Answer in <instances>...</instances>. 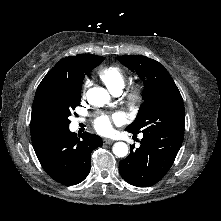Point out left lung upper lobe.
Listing matches in <instances>:
<instances>
[{
  "mask_svg": "<svg viewBox=\"0 0 221 221\" xmlns=\"http://www.w3.org/2000/svg\"><path fill=\"white\" fill-rule=\"evenodd\" d=\"M144 82V102L133 123L132 133L161 134L183 139L185 111L182 96L172 77L159 62L141 55L117 56Z\"/></svg>",
  "mask_w": 221,
  "mask_h": 221,
  "instance_id": "1",
  "label": "left lung upper lobe"
}]
</instances>
